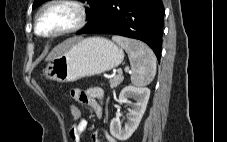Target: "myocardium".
I'll use <instances>...</instances> for the list:
<instances>
[{
	"label": "myocardium",
	"mask_w": 227,
	"mask_h": 142,
	"mask_svg": "<svg viewBox=\"0 0 227 142\" xmlns=\"http://www.w3.org/2000/svg\"><path fill=\"white\" fill-rule=\"evenodd\" d=\"M54 6H69L72 7L75 12H76V21L75 23L70 26L67 29L54 32V33H49V34H44L41 33L38 29L39 27V22L41 19L42 14L49 8L54 7ZM88 18V9L86 5L80 1V0H49L45 4H43L40 9L38 10L36 16H35V24H34V32L36 35L43 37V38H57L61 37L64 35H68L71 33H74L81 29L87 21Z\"/></svg>",
	"instance_id": "f54148a6"
}]
</instances>
